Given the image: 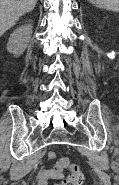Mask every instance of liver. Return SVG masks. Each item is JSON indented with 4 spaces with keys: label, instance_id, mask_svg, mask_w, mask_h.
Wrapping results in <instances>:
<instances>
[{
    "label": "liver",
    "instance_id": "liver-1",
    "mask_svg": "<svg viewBox=\"0 0 119 185\" xmlns=\"http://www.w3.org/2000/svg\"><path fill=\"white\" fill-rule=\"evenodd\" d=\"M36 3L37 0H0V37L13 27L22 15L31 12Z\"/></svg>",
    "mask_w": 119,
    "mask_h": 185
}]
</instances>
